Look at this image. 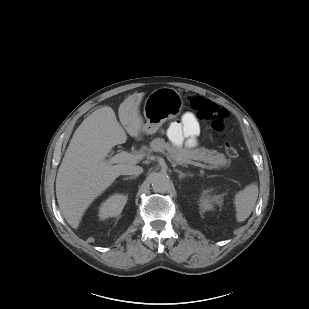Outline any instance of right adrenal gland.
Segmentation results:
<instances>
[{
  "instance_id": "obj_1",
  "label": "right adrenal gland",
  "mask_w": 309,
  "mask_h": 309,
  "mask_svg": "<svg viewBox=\"0 0 309 309\" xmlns=\"http://www.w3.org/2000/svg\"><path fill=\"white\" fill-rule=\"evenodd\" d=\"M136 176H131V177H126V178H123V180H131V179H135Z\"/></svg>"
}]
</instances>
